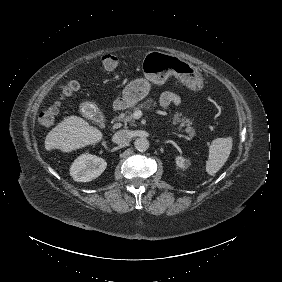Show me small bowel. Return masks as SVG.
Segmentation results:
<instances>
[{"instance_id":"small-bowel-1","label":"small bowel","mask_w":282,"mask_h":282,"mask_svg":"<svg viewBox=\"0 0 282 282\" xmlns=\"http://www.w3.org/2000/svg\"><path fill=\"white\" fill-rule=\"evenodd\" d=\"M181 101V97L177 93L171 91H166L160 96V105L162 108H166L169 105L178 106L181 104Z\"/></svg>"}]
</instances>
